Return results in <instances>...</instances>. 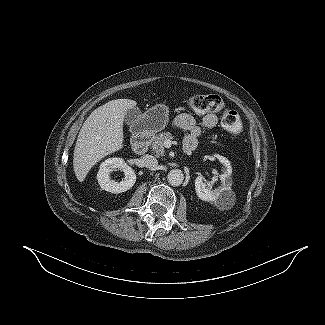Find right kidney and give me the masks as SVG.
Listing matches in <instances>:
<instances>
[{
  "label": "right kidney",
  "instance_id": "ca27d5eb",
  "mask_svg": "<svg viewBox=\"0 0 325 325\" xmlns=\"http://www.w3.org/2000/svg\"><path fill=\"white\" fill-rule=\"evenodd\" d=\"M114 169H120L124 172L125 177L121 182L110 180V172ZM97 180L103 190L118 194L129 190L135 184L136 175L122 158H109L101 163Z\"/></svg>",
  "mask_w": 325,
  "mask_h": 325
}]
</instances>
